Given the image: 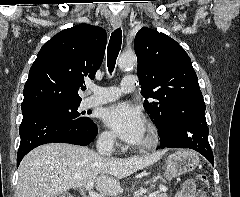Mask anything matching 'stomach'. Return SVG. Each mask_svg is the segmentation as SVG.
Returning <instances> with one entry per match:
<instances>
[{
    "mask_svg": "<svg viewBox=\"0 0 240 197\" xmlns=\"http://www.w3.org/2000/svg\"><path fill=\"white\" fill-rule=\"evenodd\" d=\"M199 164L198 155L192 150H178L168 156L164 176H179L193 171Z\"/></svg>",
    "mask_w": 240,
    "mask_h": 197,
    "instance_id": "1",
    "label": "stomach"
}]
</instances>
